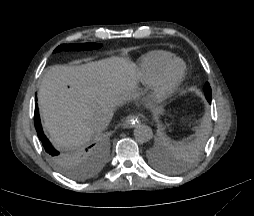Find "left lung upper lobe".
Listing matches in <instances>:
<instances>
[{"label": "left lung upper lobe", "mask_w": 254, "mask_h": 216, "mask_svg": "<svg viewBox=\"0 0 254 216\" xmlns=\"http://www.w3.org/2000/svg\"><path fill=\"white\" fill-rule=\"evenodd\" d=\"M204 93L208 102L211 101V88L208 82L204 86ZM159 165L162 166V164H159Z\"/></svg>", "instance_id": "1"}]
</instances>
